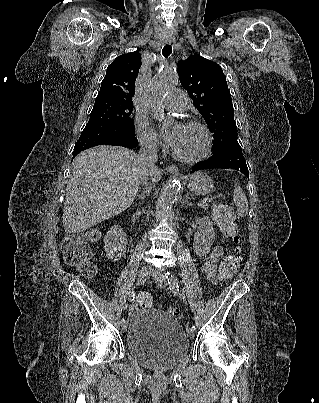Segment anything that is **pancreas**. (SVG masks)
Returning a JSON list of instances; mask_svg holds the SVG:
<instances>
[{"label":"pancreas","mask_w":319,"mask_h":403,"mask_svg":"<svg viewBox=\"0 0 319 403\" xmlns=\"http://www.w3.org/2000/svg\"><path fill=\"white\" fill-rule=\"evenodd\" d=\"M202 206V208L204 209V210H207L208 209V204H204V205H201Z\"/></svg>","instance_id":"obj_1"}]
</instances>
